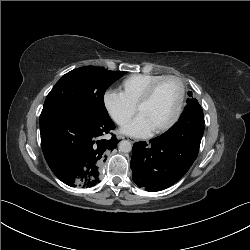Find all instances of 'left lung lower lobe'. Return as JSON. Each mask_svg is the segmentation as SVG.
Masks as SVG:
<instances>
[{"mask_svg": "<svg viewBox=\"0 0 250 250\" xmlns=\"http://www.w3.org/2000/svg\"><path fill=\"white\" fill-rule=\"evenodd\" d=\"M204 132L202 108L186 106L177 123L149 143L133 145V181L147 191L166 189L180 180L195 161Z\"/></svg>", "mask_w": 250, "mask_h": 250, "instance_id": "0a47b994", "label": "left lung lower lobe"}]
</instances>
